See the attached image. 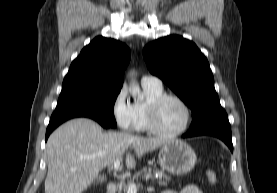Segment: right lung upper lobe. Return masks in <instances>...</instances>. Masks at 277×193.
<instances>
[{"mask_svg": "<svg viewBox=\"0 0 277 193\" xmlns=\"http://www.w3.org/2000/svg\"><path fill=\"white\" fill-rule=\"evenodd\" d=\"M129 61L130 50L125 44L98 36L72 62L62 90L75 87L121 90Z\"/></svg>", "mask_w": 277, "mask_h": 193, "instance_id": "cb5924a9", "label": "right lung upper lobe"}]
</instances>
